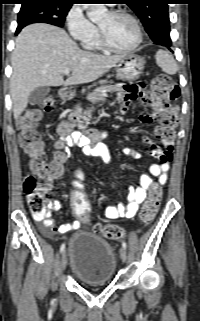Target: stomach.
<instances>
[{
	"label": "stomach",
	"instance_id": "1",
	"mask_svg": "<svg viewBox=\"0 0 200 321\" xmlns=\"http://www.w3.org/2000/svg\"><path fill=\"white\" fill-rule=\"evenodd\" d=\"M144 64V59L138 55L124 56L117 65L116 76L125 81L136 80L142 74Z\"/></svg>",
	"mask_w": 200,
	"mask_h": 321
}]
</instances>
